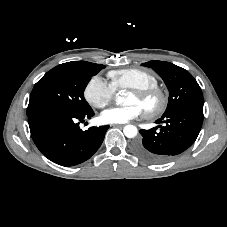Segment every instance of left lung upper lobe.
<instances>
[{
    "mask_svg": "<svg viewBox=\"0 0 227 227\" xmlns=\"http://www.w3.org/2000/svg\"><path fill=\"white\" fill-rule=\"evenodd\" d=\"M141 65L155 70L169 90L168 106L164 114L188 108L203 110L201 88L188 71L165 61H149Z\"/></svg>",
    "mask_w": 227,
    "mask_h": 227,
    "instance_id": "1",
    "label": "left lung upper lobe"
}]
</instances>
